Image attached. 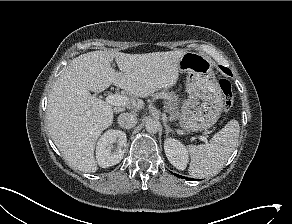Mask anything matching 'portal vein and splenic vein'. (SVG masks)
<instances>
[{"label": "portal vein and splenic vein", "instance_id": "obj_1", "mask_svg": "<svg viewBox=\"0 0 292 224\" xmlns=\"http://www.w3.org/2000/svg\"><path fill=\"white\" fill-rule=\"evenodd\" d=\"M128 98L119 94H113V95H108L106 97V102L117 106V107H121V106H126L128 104ZM199 139L207 142V139L204 136H199Z\"/></svg>", "mask_w": 292, "mask_h": 224}]
</instances>
